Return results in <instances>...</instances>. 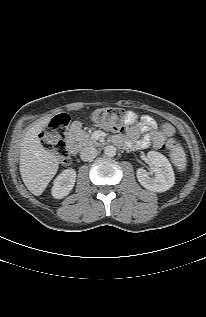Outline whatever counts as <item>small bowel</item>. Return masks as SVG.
Returning a JSON list of instances; mask_svg holds the SVG:
<instances>
[{"mask_svg":"<svg viewBox=\"0 0 206 317\" xmlns=\"http://www.w3.org/2000/svg\"><path fill=\"white\" fill-rule=\"evenodd\" d=\"M125 124L127 126L126 143L136 149H145L151 145L160 148L163 141L173 135L174 129L170 123L157 124V122L148 115L140 118L132 111L126 113ZM141 134H144L141 137ZM117 136V140H121Z\"/></svg>","mask_w":206,"mask_h":317,"instance_id":"c3829d8e","label":"small bowel"}]
</instances>
